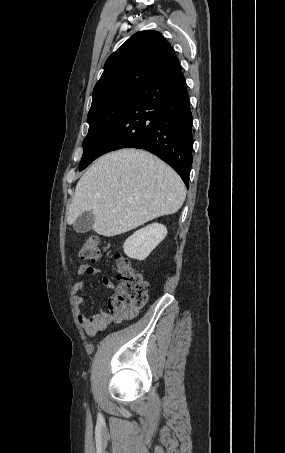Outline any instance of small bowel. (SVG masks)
<instances>
[{
    "label": "small bowel",
    "mask_w": 285,
    "mask_h": 453,
    "mask_svg": "<svg viewBox=\"0 0 285 453\" xmlns=\"http://www.w3.org/2000/svg\"><path fill=\"white\" fill-rule=\"evenodd\" d=\"M100 270L91 265H81L78 268V275H98ZM103 285L108 289H113V282L108 276L102 277ZM84 284L83 282H77L73 285V291L75 293L74 296V305H75V312L78 318V321L81 327L84 329L85 333L93 337L99 332H102L106 329L108 325L114 322L121 321L125 316L120 312L118 305L113 297L109 298L107 306V311H99L92 315H86L84 313V305L85 301L84 298L79 294L83 291Z\"/></svg>",
    "instance_id": "small-bowel-1"
}]
</instances>
